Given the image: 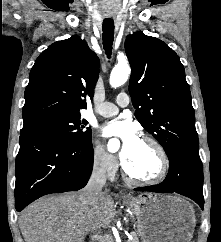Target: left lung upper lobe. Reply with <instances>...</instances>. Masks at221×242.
<instances>
[{
	"instance_id": "left-lung-upper-lobe-1",
	"label": "left lung upper lobe",
	"mask_w": 221,
	"mask_h": 242,
	"mask_svg": "<svg viewBox=\"0 0 221 242\" xmlns=\"http://www.w3.org/2000/svg\"><path fill=\"white\" fill-rule=\"evenodd\" d=\"M125 51L137 120L169 160L180 149L199 150L191 93L178 55L163 41L141 32L127 36Z\"/></svg>"
}]
</instances>
